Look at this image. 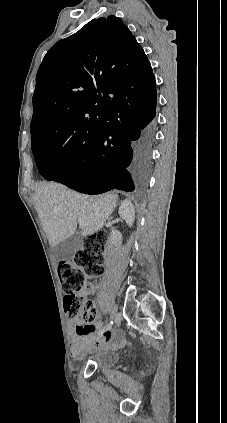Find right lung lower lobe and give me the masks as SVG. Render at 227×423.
Here are the masks:
<instances>
[{"instance_id": "98d812e1", "label": "right lung lower lobe", "mask_w": 227, "mask_h": 423, "mask_svg": "<svg viewBox=\"0 0 227 423\" xmlns=\"http://www.w3.org/2000/svg\"><path fill=\"white\" fill-rule=\"evenodd\" d=\"M156 91L148 96H129L112 104L107 123L95 138L94 148L68 175L54 181L85 194L112 189L133 191L143 183L150 164L156 113Z\"/></svg>"}]
</instances>
